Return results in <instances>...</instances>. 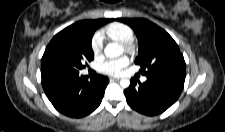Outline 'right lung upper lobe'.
Listing matches in <instances>:
<instances>
[{
    "label": "right lung upper lobe",
    "instance_id": "obj_1",
    "mask_svg": "<svg viewBox=\"0 0 225 132\" xmlns=\"http://www.w3.org/2000/svg\"><path fill=\"white\" fill-rule=\"evenodd\" d=\"M112 20H113V19H99V20H92V21L100 22V23L106 24V23H108V22H110V21H112Z\"/></svg>",
    "mask_w": 225,
    "mask_h": 132
}]
</instances>
